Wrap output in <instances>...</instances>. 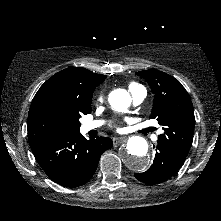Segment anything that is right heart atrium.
<instances>
[{
  "label": "right heart atrium",
  "instance_id": "obj_1",
  "mask_svg": "<svg viewBox=\"0 0 221 221\" xmlns=\"http://www.w3.org/2000/svg\"><path fill=\"white\" fill-rule=\"evenodd\" d=\"M99 99L101 100V99H102V97L100 96V97H99Z\"/></svg>",
  "mask_w": 221,
  "mask_h": 221
}]
</instances>
